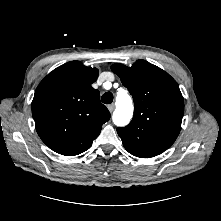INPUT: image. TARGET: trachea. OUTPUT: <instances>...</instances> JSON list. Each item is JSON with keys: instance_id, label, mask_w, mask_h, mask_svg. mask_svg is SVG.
I'll list each match as a JSON object with an SVG mask.
<instances>
[{"instance_id": "3493384b", "label": "trachea", "mask_w": 221, "mask_h": 221, "mask_svg": "<svg viewBox=\"0 0 221 221\" xmlns=\"http://www.w3.org/2000/svg\"><path fill=\"white\" fill-rule=\"evenodd\" d=\"M101 100L104 104H111L113 102V94L111 92H106L102 95Z\"/></svg>"}]
</instances>
